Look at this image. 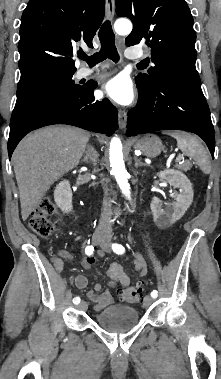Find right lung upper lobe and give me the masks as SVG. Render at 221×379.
I'll return each mask as SVG.
<instances>
[{"label":"right lung upper lobe","instance_id":"cb5924a9","mask_svg":"<svg viewBox=\"0 0 221 379\" xmlns=\"http://www.w3.org/2000/svg\"><path fill=\"white\" fill-rule=\"evenodd\" d=\"M104 11L105 0H30L20 25V81L76 69L72 59L76 45L84 42L93 47Z\"/></svg>","mask_w":221,"mask_h":379}]
</instances>
